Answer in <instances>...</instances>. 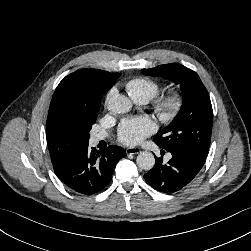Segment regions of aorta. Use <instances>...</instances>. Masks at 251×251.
<instances>
[{
    "label": "aorta",
    "instance_id": "aorta-1",
    "mask_svg": "<svg viewBox=\"0 0 251 251\" xmlns=\"http://www.w3.org/2000/svg\"><path fill=\"white\" fill-rule=\"evenodd\" d=\"M108 110L114 114H124L131 110L132 102L124 95H113L108 101ZM137 165L142 170H150L155 164L154 155L151 152H140L136 159Z\"/></svg>",
    "mask_w": 251,
    "mask_h": 251
}]
</instances>
